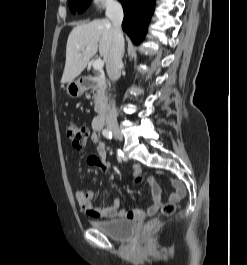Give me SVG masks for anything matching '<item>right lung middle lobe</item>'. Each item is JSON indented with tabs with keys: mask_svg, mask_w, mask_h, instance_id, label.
I'll return each instance as SVG.
<instances>
[{
	"mask_svg": "<svg viewBox=\"0 0 247 265\" xmlns=\"http://www.w3.org/2000/svg\"><path fill=\"white\" fill-rule=\"evenodd\" d=\"M69 8L72 13H81L83 12L88 6V0H68Z\"/></svg>",
	"mask_w": 247,
	"mask_h": 265,
	"instance_id": "obj_1",
	"label": "right lung middle lobe"
}]
</instances>
